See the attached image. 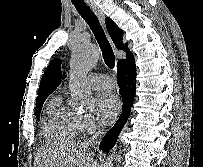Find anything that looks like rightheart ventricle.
<instances>
[{
  "mask_svg": "<svg viewBox=\"0 0 203 167\" xmlns=\"http://www.w3.org/2000/svg\"><path fill=\"white\" fill-rule=\"evenodd\" d=\"M80 131L78 114L55 96L47 103L42 118V133L52 143H66L76 138Z\"/></svg>",
  "mask_w": 203,
  "mask_h": 167,
  "instance_id": "right-heart-ventricle-1",
  "label": "right heart ventricle"
}]
</instances>
